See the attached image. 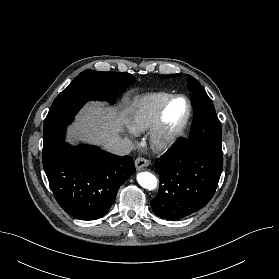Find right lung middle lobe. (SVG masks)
Segmentation results:
<instances>
[{
  "instance_id": "right-lung-middle-lobe-1",
  "label": "right lung middle lobe",
  "mask_w": 279,
  "mask_h": 279,
  "mask_svg": "<svg viewBox=\"0 0 279 279\" xmlns=\"http://www.w3.org/2000/svg\"><path fill=\"white\" fill-rule=\"evenodd\" d=\"M135 82V77L122 72L85 70L54 100L44 121L43 163L64 143L66 127L88 100L114 102L118 94Z\"/></svg>"
}]
</instances>
